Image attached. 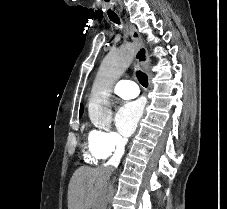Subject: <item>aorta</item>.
Returning a JSON list of instances; mask_svg holds the SVG:
<instances>
[{"label": "aorta", "instance_id": "1", "mask_svg": "<svg viewBox=\"0 0 227 209\" xmlns=\"http://www.w3.org/2000/svg\"><path fill=\"white\" fill-rule=\"evenodd\" d=\"M134 52V45L127 44L111 51L103 59L93 84L92 97L88 106L89 116L93 121L110 113L107 107L109 93L115 80L129 67Z\"/></svg>", "mask_w": 227, "mask_h": 209}]
</instances>
